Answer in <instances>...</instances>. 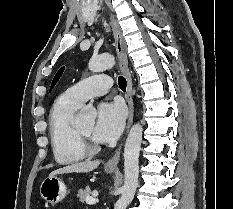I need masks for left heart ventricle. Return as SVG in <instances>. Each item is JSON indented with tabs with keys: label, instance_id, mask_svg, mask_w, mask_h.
Returning <instances> with one entry per match:
<instances>
[{
	"label": "left heart ventricle",
	"instance_id": "1",
	"mask_svg": "<svg viewBox=\"0 0 233 209\" xmlns=\"http://www.w3.org/2000/svg\"><path fill=\"white\" fill-rule=\"evenodd\" d=\"M78 128L81 130L82 133L89 136L95 142L93 138L94 121L79 125Z\"/></svg>",
	"mask_w": 233,
	"mask_h": 209
}]
</instances>
